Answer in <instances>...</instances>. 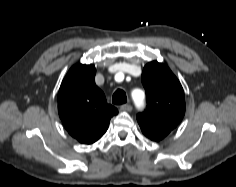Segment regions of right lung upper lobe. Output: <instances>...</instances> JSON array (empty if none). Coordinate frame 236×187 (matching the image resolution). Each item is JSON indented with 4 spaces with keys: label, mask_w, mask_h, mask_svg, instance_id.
Here are the masks:
<instances>
[{
    "label": "right lung upper lobe",
    "mask_w": 236,
    "mask_h": 187,
    "mask_svg": "<svg viewBox=\"0 0 236 187\" xmlns=\"http://www.w3.org/2000/svg\"><path fill=\"white\" fill-rule=\"evenodd\" d=\"M95 74L93 65L72 66L58 93L60 119L69 134L83 144H92L101 138L110 118L118 114L96 86Z\"/></svg>",
    "instance_id": "cb5924a9"
}]
</instances>
